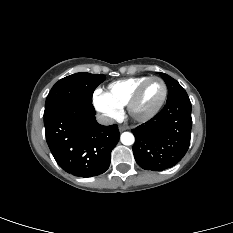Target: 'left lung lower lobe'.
Returning <instances> with one entry per match:
<instances>
[{
    "label": "left lung lower lobe",
    "mask_w": 233,
    "mask_h": 233,
    "mask_svg": "<svg viewBox=\"0 0 233 233\" xmlns=\"http://www.w3.org/2000/svg\"><path fill=\"white\" fill-rule=\"evenodd\" d=\"M191 127V102L186 91L169 96L156 116L132 130L138 165L152 171L176 165L190 145Z\"/></svg>",
    "instance_id": "0a47b994"
}]
</instances>
